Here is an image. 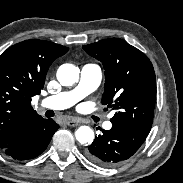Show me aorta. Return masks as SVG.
Wrapping results in <instances>:
<instances>
[{"label": "aorta", "instance_id": "762f6f07", "mask_svg": "<svg viewBox=\"0 0 183 183\" xmlns=\"http://www.w3.org/2000/svg\"><path fill=\"white\" fill-rule=\"evenodd\" d=\"M79 69L73 64H63L57 70V79L63 86H71L79 80ZM75 137L81 144H91L94 140V131L89 126H81L75 132Z\"/></svg>", "mask_w": 183, "mask_h": 183}]
</instances>
